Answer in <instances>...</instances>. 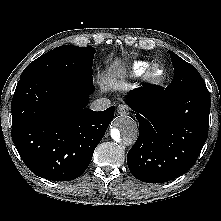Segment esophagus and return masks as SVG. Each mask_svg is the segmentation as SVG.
I'll return each mask as SVG.
<instances>
[{
	"label": "esophagus",
	"instance_id": "1",
	"mask_svg": "<svg viewBox=\"0 0 221 221\" xmlns=\"http://www.w3.org/2000/svg\"><path fill=\"white\" fill-rule=\"evenodd\" d=\"M130 108L127 105L121 104L117 107V112L120 115H128Z\"/></svg>",
	"mask_w": 221,
	"mask_h": 221
}]
</instances>
